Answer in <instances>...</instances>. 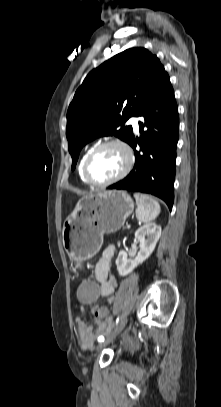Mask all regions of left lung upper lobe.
<instances>
[{
  "mask_svg": "<svg viewBox=\"0 0 221 407\" xmlns=\"http://www.w3.org/2000/svg\"><path fill=\"white\" fill-rule=\"evenodd\" d=\"M167 75L159 59L141 47L127 49L93 69L67 111L72 170L82 147L97 137L115 135L129 143L133 130L124 123L139 115Z\"/></svg>",
  "mask_w": 221,
  "mask_h": 407,
  "instance_id": "obj_1",
  "label": "left lung upper lobe"
}]
</instances>
